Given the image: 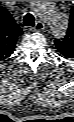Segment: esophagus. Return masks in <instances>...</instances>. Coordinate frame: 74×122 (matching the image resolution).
<instances>
[{
    "label": "esophagus",
    "mask_w": 74,
    "mask_h": 122,
    "mask_svg": "<svg viewBox=\"0 0 74 122\" xmlns=\"http://www.w3.org/2000/svg\"><path fill=\"white\" fill-rule=\"evenodd\" d=\"M44 28H45L44 23L42 21H37L35 27L32 28L31 30L32 31H42V30H44Z\"/></svg>",
    "instance_id": "1"
}]
</instances>
